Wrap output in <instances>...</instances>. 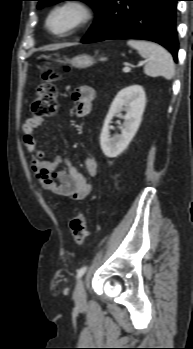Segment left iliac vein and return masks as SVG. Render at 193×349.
<instances>
[{
	"instance_id": "left-iliac-vein-1",
	"label": "left iliac vein",
	"mask_w": 193,
	"mask_h": 349,
	"mask_svg": "<svg viewBox=\"0 0 193 349\" xmlns=\"http://www.w3.org/2000/svg\"><path fill=\"white\" fill-rule=\"evenodd\" d=\"M73 298L76 306L84 307L86 305V292L84 288V282L81 278L78 279L76 283L74 293H73Z\"/></svg>"
}]
</instances>
